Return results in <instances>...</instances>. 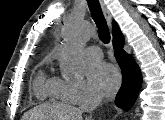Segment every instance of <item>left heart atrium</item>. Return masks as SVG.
<instances>
[{
  "label": "left heart atrium",
  "mask_w": 165,
  "mask_h": 120,
  "mask_svg": "<svg viewBox=\"0 0 165 120\" xmlns=\"http://www.w3.org/2000/svg\"><path fill=\"white\" fill-rule=\"evenodd\" d=\"M88 81L94 92L108 96L117 90L120 84V74L111 64L96 63L88 70Z\"/></svg>",
  "instance_id": "39dd6f15"
}]
</instances>
